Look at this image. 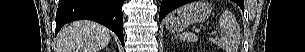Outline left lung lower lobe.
<instances>
[{
    "instance_id": "left-lung-lower-lobe-1",
    "label": "left lung lower lobe",
    "mask_w": 305,
    "mask_h": 52,
    "mask_svg": "<svg viewBox=\"0 0 305 52\" xmlns=\"http://www.w3.org/2000/svg\"><path fill=\"white\" fill-rule=\"evenodd\" d=\"M188 2H191V0H162L159 21H161L168 13L173 11L175 8Z\"/></svg>"
}]
</instances>
